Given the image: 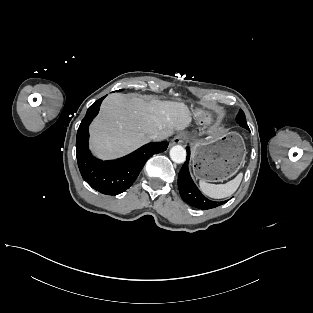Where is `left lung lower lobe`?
Wrapping results in <instances>:
<instances>
[{
	"label": "left lung lower lobe",
	"instance_id": "obj_1",
	"mask_svg": "<svg viewBox=\"0 0 313 313\" xmlns=\"http://www.w3.org/2000/svg\"><path fill=\"white\" fill-rule=\"evenodd\" d=\"M186 150H187V161L183 164L178 175V188L183 201H185L186 203L195 208L202 210L215 208L226 203L227 201L222 202L211 201L207 199L199 191V189L196 187L193 180L191 179L188 169V161L190 157L189 147H187Z\"/></svg>",
	"mask_w": 313,
	"mask_h": 313
}]
</instances>
